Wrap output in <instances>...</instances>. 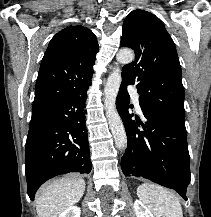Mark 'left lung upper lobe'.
<instances>
[{"instance_id":"1","label":"left lung upper lobe","mask_w":211,"mask_h":217,"mask_svg":"<svg viewBox=\"0 0 211 217\" xmlns=\"http://www.w3.org/2000/svg\"><path fill=\"white\" fill-rule=\"evenodd\" d=\"M121 46L135 52V60L122 68V81L136 84L140 106L185 125L181 66L163 23L147 11L130 12L123 23Z\"/></svg>"}]
</instances>
